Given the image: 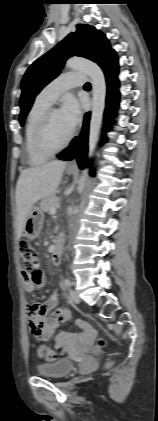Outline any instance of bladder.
Wrapping results in <instances>:
<instances>
[{
	"label": "bladder",
	"instance_id": "bladder-1",
	"mask_svg": "<svg viewBox=\"0 0 158 421\" xmlns=\"http://www.w3.org/2000/svg\"><path fill=\"white\" fill-rule=\"evenodd\" d=\"M74 368L70 359H60L51 363L39 364L36 367L38 375L48 378H62L69 374Z\"/></svg>",
	"mask_w": 158,
	"mask_h": 421
}]
</instances>
